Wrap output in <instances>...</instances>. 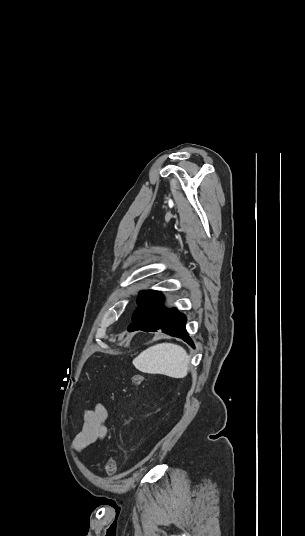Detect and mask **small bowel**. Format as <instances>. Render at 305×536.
Masks as SVG:
<instances>
[{
	"mask_svg": "<svg viewBox=\"0 0 305 536\" xmlns=\"http://www.w3.org/2000/svg\"><path fill=\"white\" fill-rule=\"evenodd\" d=\"M106 418L107 410L102 405L85 411L82 429L74 440V446L77 450H83L106 436L107 430L104 426Z\"/></svg>",
	"mask_w": 305,
	"mask_h": 536,
	"instance_id": "c3829d8e",
	"label": "small bowel"
}]
</instances>
